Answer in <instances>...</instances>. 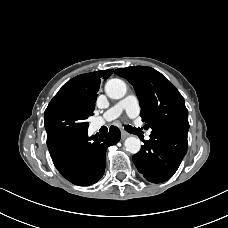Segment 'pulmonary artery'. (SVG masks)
I'll use <instances>...</instances> for the list:
<instances>
[{"instance_id": "1", "label": "pulmonary artery", "mask_w": 228, "mask_h": 228, "mask_svg": "<svg viewBox=\"0 0 228 228\" xmlns=\"http://www.w3.org/2000/svg\"><path fill=\"white\" fill-rule=\"evenodd\" d=\"M125 111L127 115L131 118H135L140 113L139 101L135 95H128L110 109H108L103 116L101 117L98 125H100L104 121L113 120L121 115V113ZM151 137V132L148 131L145 135V139L149 140Z\"/></svg>"}]
</instances>
